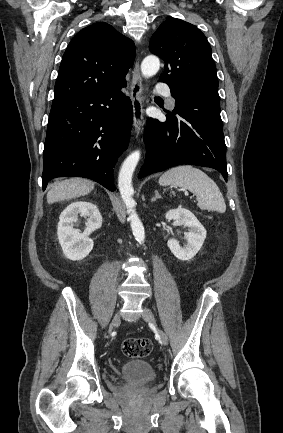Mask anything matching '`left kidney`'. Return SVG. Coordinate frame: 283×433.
<instances>
[{
	"label": "left kidney",
	"instance_id": "obj_1",
	"mask_svg": "<svg viewBox=\"0 0 283 433\" xmlns=\"http://www.w3.org/2000/svg\"><path fill=\"white\" fill-rule=\"evenodd\" d=\"M165 218L167 220H175L184 227L189 228V232L185 233L187 243L181 246L178 240L170 239L167 245L177 259L182 261L192 259L198 253L206 238L205 228L195 215L185 208L179 207L169 210Z\"/></svg>",
	"mask_w": 283,
	"mask_h": 433
}]
</instances>
